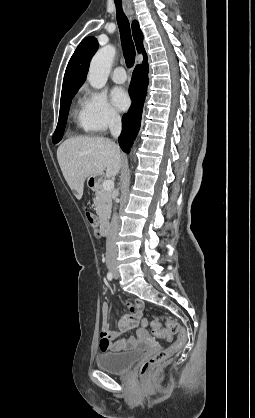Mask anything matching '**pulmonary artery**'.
Masks as SVG:
<instances>
[{"label":"pulmonary artery","mask_w":255,"mask_h":418,"mask_svg":"<svg viewBox=\"0 0 255 418\" xmlns=\"http://www.w3.org/2000/svg\"><path fill=\"white\" fill-rule=\"evenodd\" d=\"M112 80L116 83H124L126 81V72L122 66L114 68L111 74Z\"/></svg>","instance_id":"1"}]
</instances>
